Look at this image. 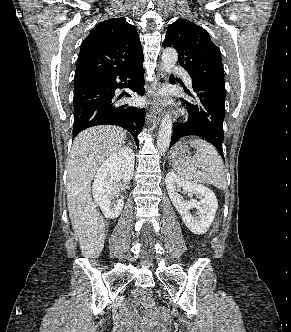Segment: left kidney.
Segmentation results:
<instances>
[{
    "mask_svg": "<svg viewBox=\"0 0 291 332\" xmlns=\"http://www.w3.org/2000/svg\"><path fill=\"white\" fill-rule=\"evenodd\" d=\"M165 183L169 197L187 228L197 235L206 233L218 208V201L213 191L204 185L186 181L173 171L167 173ZM181 189L188 196L196 195L199 200L193 198L184 200L179 194ZM193 208L197 209L196 216L190 213Z\"/></svg>",
    "mask_w": 291,
    "mask_h": 332,
    "instance_id": "left-kidney-1",
    "label": "left kidney"
}]
</instances>
